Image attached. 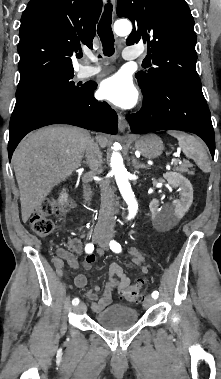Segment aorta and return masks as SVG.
Returning a JSON list of instances; mask_svg holds the SVG:
<instances>
[{
	"instance_id": "1",
	"label": "aorta",
	"mask_w": 221,
	"mask_h": 379,
	"mask_svg": "<svg viewBox=\"0 0 221 379\" xmlns=\"http://www.w3.org/2000/svg\"><path fill=\"white\" fill-rule=\"evenodd\" d=\"M114 31L119 36L129 35L132 31V24L127 20H118L114 24ZM119 147V144H114L113 146L114 151L110 162L111 172L114 174L120 193L128 205V219H132L137 213L138 203L131 189L128 180V172L124 166L122 156L119 152L115 151Z\"/></svg>"
}]
</instances>
